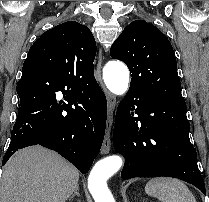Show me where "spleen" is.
Listing matches in <instances>:
<instances>
[{"label":"spleen","mask_w":209,"mask_h":202,"mask_svg":"<svg viewBox=\"0 0 209 202\" xmlns=\"http://www.w3.org/2000/svg\"><path fill=\"white\" fill-rule=\"evenodd\" d=\"M145 191L160 202H196L190 189L178 179L153 178L146 184Z\"/></svg>","instance_id":"1"}]
</instances>
